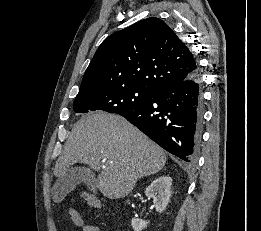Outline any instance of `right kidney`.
I'll return each instance as SVG.
<instances>
[{
	"instance_id": "ca27d5eb",
	"label": "right kidney",
	"mask_w": 261,
	"mask_h": 231,
	"mask_svg": "<svg viewBox=\"0 0 261 231\" xmlns=\"http://www.w3.org/2000/svg\"><path fill=\"white\" fill-rule=\"evenodd\" d=\"M171 185V177L160 176L159 178L155 179L145 190V195L148 198L153 199L154 207L158 213L164 212L170 201ZM148 223L149 222L138 218H133L131 221V225L134 231H142L147 227Z\"/></svg>"
}]
</instances>
